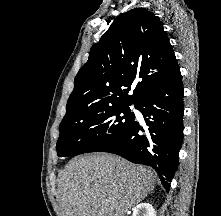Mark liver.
I'll return each mask as SVG.
<instances>
[{
	"label": "liver",
	"mask_w": 221,
	"mask_h": 216,
	"mask_svg": "<svg viewBox=\"0 0 221 216\" xmlns=\"http://www.w3.org/2000/svg\"><path fill=\"white\" fill-rule=\"evenodd\" d=\"M155 186L151 169L111 154H88L58 175L62 216H125Z\"/></svg>",
	"instance_id": "liver-1"
}]
</instances>
